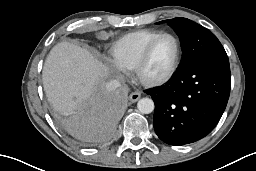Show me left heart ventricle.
I'll return each mask as SVG.
<instances>
[{
  "label": "left heart ventricle",
  "mask_w": 256,
  "mask_h": 171,
  "mask_svg": "<svg viewBox=\"0 0 256 171\" xmlns=\"http://www.w3.org/2000/svg\"><path fill=\"white\" fill-rule=\"evenodd\" d=\"M176 45L172 38L164 37L154 46L144 69L143 76L147 79H156L165 75L174 60Z\"/></svg>",
  "instance_id": "b2bd125f"
}]
</instances>
